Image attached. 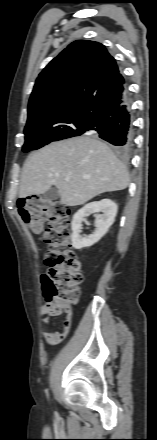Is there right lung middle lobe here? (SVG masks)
Segmentation results:
<instances>
[{"label": "right lung middle lobe", "instance_id": "dd1d6c3e", "mask_svg": "<svg viewBox=\"0 0 157 440\" xmlns=\"http://www.w3.org/2000/svg\"><path fill=\"white\" fill-rule=\"evenodd\" d=\"M83 124H71L65 121L48 122L45 120H29L24 129L25 144L23 151L36 150L52 141H58L85 133Z\"/></svg>", "mask_w": 157, "mask_h": 440}]
</instances>
